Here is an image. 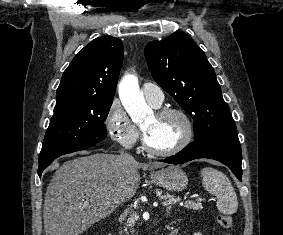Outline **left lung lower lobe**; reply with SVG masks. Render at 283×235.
Returning <instances> with one entry per match:
<instances>
[{"instance_id":"0a47b994","label":"left lung lower lobe","mask_w":283,"mask_h":235,"mask_svg":"<svg viewBox=\"0 0 283 235\" xmlns=\"http://www.w3.org/2000/svg\"><path fill=\"white\" fill-rule=\"evenodd\" d=\"M198 158H210L227 165L235 176L242 177V152L236 133L196 140L162 162L182 164Z\"/></svg>"}]
</instances>
